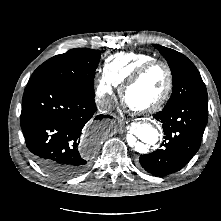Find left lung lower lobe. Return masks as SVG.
<instances>
[{"instance_id": "0a47b994", "label": "left lung lower lobe", "mask_w": 221, "mask_h": 221, "mask_svg": "<svg viewBox=\"0 0 221 221\" xmlns=\"http://www.w3.org/2000/svg\"><path fill=\"white\" fill-rule=\"evenodd\" d=\"M154 118L164 129L163 147L141 155L139 161L153 175H169L181 170L199 150L208 121V98L192 97L165 106Z\"/></svg>"}]
</instances>
